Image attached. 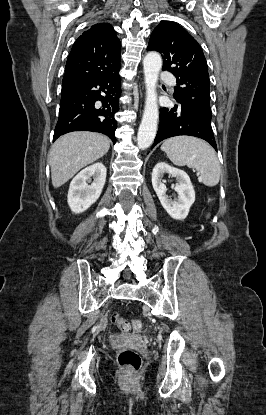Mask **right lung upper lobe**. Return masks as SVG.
I'll return each instance as SVG.
<instances>
[{
    "label": "right lung upper lobe",
    "instance_id": "right-lung-upper-lobe-1",
    "mask_svg": "<svg viewBox=\"0 0 266 415\" xmlns=\"http://www.w3.org/2000/svg\"><path fill=\"white\" fill-rule=\"evenodd\" d=\"M120 54L121 44L110 24L91 26L75 41L71 49L62 88L119 70Z\"/></svg>",
    "mask_w": 266,
    "mask_h": 415
}]
</instances>
